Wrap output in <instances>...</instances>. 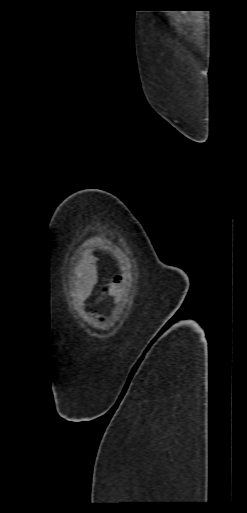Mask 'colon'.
Returning a JSON list of instances; mask_svg holds the SVG:
<instances>
[{"label":"colon","mask_w":247,"mask_h":513,"mask_svg":"<svg viewBox=\"0 0 247 513\" xmlns=\"http://www.w3.org/2000/svg\"><path fill=\"white\" fill-rule=\"evenodd\" d=\"M118 279H119V277H115V279H114V283H118V282H117V281H118ZM106 290H107V288H106Z\"/></svg>","instance_id":"obj_1"}]
</instances>
